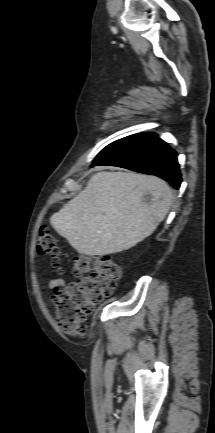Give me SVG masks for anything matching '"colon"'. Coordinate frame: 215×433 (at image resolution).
<instances>
[{
    "label": "colon",
    "instance_id": "5ec220e1",
    "mask_svg": "<svg viewBox=\"0 0 215 433\" xmlns=\"http://www.w3.org/2000/svg\"><path fill=\"white\" fill-rule=\"evenodd\" d=\"M37 250L51 258L53 268L61 270L57 240L45 224L38 230ZM73 273L79 281L55 288L51 300L58 327L69 334H82L96 305L115 289L121 270L107 255H78Z\"/></svg>",
    "mask_w": 215,
    "mask_h": 433
}]
</instances>
